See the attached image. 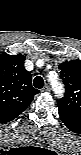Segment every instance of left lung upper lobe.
<instances>
[{
    "label": "left lung upper lobe",
    "instance_id": "5c2ea615",
    "mask_svg": "<svg viewBox=\"0 0 81 155\" xmlns=\"http://www.w3.org/2000/svg\"><path fill=\"white\" fill-rule=\"evenodd\" d=\"M65 94L57 102L59 114L81 120V61H65L59 65Z\"/></svg>",
    "mask_w": 81,
    "mask_h": 155
}]
</instances>
